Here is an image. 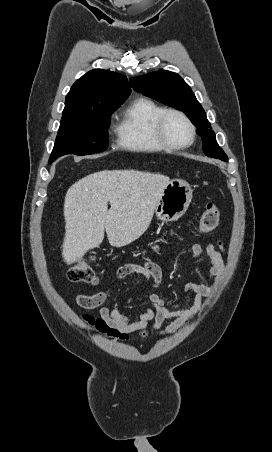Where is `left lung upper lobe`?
Wrapping results in <instances>:
<instances>
[{"label": "left lung upper lobe", "mask_w": 272, "mask_h": 452, "mask_svg": "<svg viewBox=\"0 0 272 452\" xmlns=\"http://www.w3.org/2000/svg\"><path fill=\"white\" fill-rule=\"evenodd\" d=\"M131 86L138 92L163 104L183 111L197 127L203 140L205 155L227 161L228 157L217 144L215 133L206 118V113L197 101L189 85L176 73L159 70L130 78Z\"/></svg>", "instance_id": "1"}]
</instances>
